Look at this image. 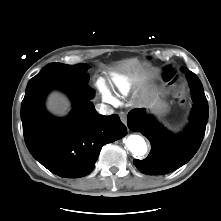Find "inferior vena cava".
Returning <instances> with one entry per match:
<instances>
[{
	"label": "inferior vena cava",
	"instance_id": "602c4592",
	"mask_svg": "<svg viewBox=\"0 0 221 221\" xmlns=\"http://www.w3.org/2000/svg\"><path fill=\"white\" fill-rule=\"evenodd\" d=\"M97 110L100 114H103V115H110L113 112L112 109H110L108 105H104V104H97Z\"/></svg>",
	"mask_w": 221,
	"mask_h": 221
}]
</instances>
